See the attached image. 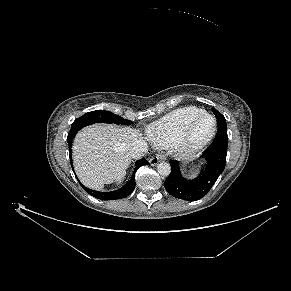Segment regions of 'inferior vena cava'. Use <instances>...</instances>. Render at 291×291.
<instances>
[{
	"instance_id": "obj_1",
	"label": "inferior vena cava",
	"mask_w": 291,
	"mask_h": 291,
	"mask_svg": "<svg viewBox=\"0 0 291 291\" xmlns=\"http://www.w3.org/2000/svg\"><path fill=\"white\" fill-rule=\"evenodd\" d=\"M147 150V143L137 140L131 143L129 147V155L134 159H138L144 156L147 153Z\"/></svg>"
}]
</instances>
